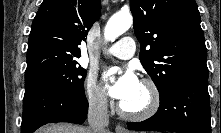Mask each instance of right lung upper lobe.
<instances>
[{"instance_id":"obj_1","label":"right lung upper lobe","mask_w":221,"mask_h":133,"mask_svg":"<svg viewBox=\"0 0 221 133\" xmlns=\"http://www.w3.org/2000/svg\"><path fill=\"white\" fill-rule=\"evenodd\" d=\"M101 0H44L33 20L25 75L77 62L88 31L99 18Z\"/></svg>"}]
</instances>
